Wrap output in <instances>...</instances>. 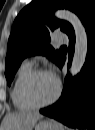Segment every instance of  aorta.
Instances as JSON below:
<instances>
[{
  "instance_id": "1",
  "label": "aorta",
  "mask_w": 95,
  "mask_h": 130,
  "mask_svg": "<svg viewBox=\"0 0 95 130\" xmlns=\"http://www.w3.org/2000/svg\"><path fill=\"white\" fill-rule=\"evenodd\" d=\"M58 19L68 21L75 32V50L70 68L72 76H76L85 64L88 52V39L85 27L83 26L79 17L68 10H58L55 12Z\"/></svg>"
}]
</instances>
